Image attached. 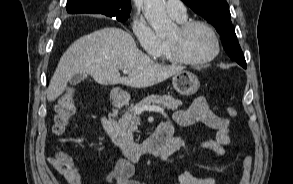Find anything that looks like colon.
I'll use <instances>...</instances> for the list:
<instances>
[{"mask_svg": "<svg viewBox=\"0 0 293 184\" xmlns=\"http://www.w3.org/2000/svg\"><path fill=\"white\" fill-rule=\"evenodd\" d=\"M75 103L71 94L64 95L55 107V118H54V132L58 135L64 133L66 130L70 120L75 114ZM227 114L235 118L238 115L237 110L232 107L228 106L226 108ZM53 161L64 163L68 159L64 154H57L55 158L52 159ZM252 169V158L250 156H246L243 160L242 164V173L239 181L237 184H249L250 175Z\"/></svg>", "mask_w": 293, "mask_h": 184, "instance_id": "1", "label": "colon"}]
</instances>
